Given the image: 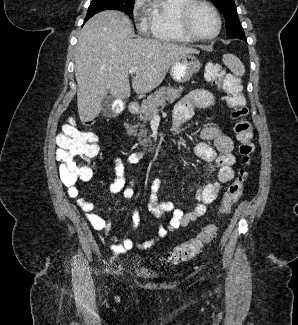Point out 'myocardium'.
<instances>
[{
  "instance_id": "myocardium-1",
  "label": "myocardium",
  "mask_w": 298,
  "mask_h": 325,
  "mask_svg": "<svg viewBox=\"0 0 298 325\" xmlns=\"http://www.w3.org/2000/svg\"><path fill=\"white\" fill-rule=\"evenodd\" d=\"M198 6H201L208 10V12L212 15L216 23V30L214 34L208 38L207 40L200 39L189 27L188 19L191 12ZM175 28L185 37L191 39L192 41L200 44H209L213 42L220 34L221 25L220 20L215 12V10L206 2L199 0H187L186 2L180 4L177 8V16L175 20Z\"/></svg>"
}]
</instances>
